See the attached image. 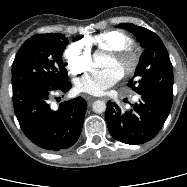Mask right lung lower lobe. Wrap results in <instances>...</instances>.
I'll use <instances>...</instances> for the list:
<instances>
[{"label":"right lung lower lobe","mask_w":187,"mask_h":187,"mask_svg":"<svg viewBox=\"0 0 187 187\" xmlns=\"http://www.w3.org/2000/svg\"><path fill=\"white\" fill-rule=\"evenodd\" d=\"M70 88L67 80L61 85H29L13 93L14 111L22 131L45 150L67 149L81 134L87 109L83 98L62 102L56 111L48 104L53 91L65 93Z\"/></svg>","instance_id":"1"}]
</instances>
